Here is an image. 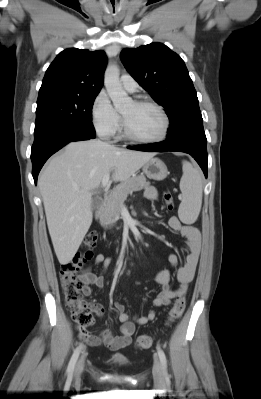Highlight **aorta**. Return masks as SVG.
Segmentation results:
<instances>
[{
	"label": "aorta",
	"mask_w": 261,
	"mask_h": 399,
	"mask_svg": "<svg viewBox=\"0 0 261 399\" xmlns=\"http://www.w3.org/2000/svg\"><path fill=\"white\" fill-rule=\"evenodd\" d=\"M120 71L116 65H110L106 68L104 74V83L109 97L111 98L114 107L120 110L131 103V98L124 91L119 80Z\"/></svg>",
	"instance_id": "aorta-1"
}]
</instances>
